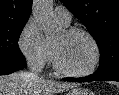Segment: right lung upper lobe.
<instances>
[{
  "mask_svg": "<svg viewBox=\"0 0 119 95\" xmlns=\"http://www.w3.org/2000/svg\"><path fill=\"white\" fill-rule=\"evenodd\" d=\"M33 0H0V26L28 20Z\"/></svg>",
  "mask_w": 119,
  "mask_h": 95,
  "instance_id": "right-lung-upper-lobe-1",
  "label": "right lung upper lobe"
}]
</instances>
